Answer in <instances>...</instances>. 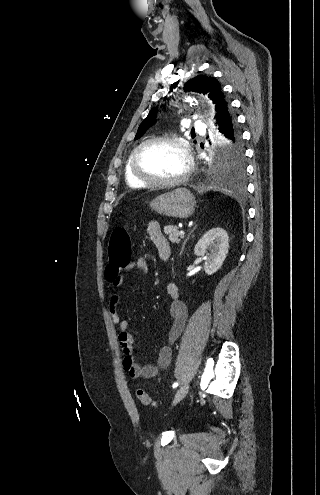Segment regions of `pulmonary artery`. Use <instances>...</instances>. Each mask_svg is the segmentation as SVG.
<instances>
[{
	"label": "pulmonary artery",
	"instance_id": "e3ab8cb5",
	"mask_svg": "<svg viewBox=\"0 0 320 495\" xmlns=\"http://www.w3.org/2000/svg\"><path fill=\"white\" fill-rule=\"evenodd\" d=\"M194 128L197 130V131H200L202 129V123L199 121V120H196L194 122Z\"/></svg>",
	"mask_w": 320,
	"mask_h": 495
}]
</instances>
